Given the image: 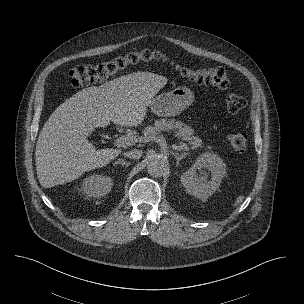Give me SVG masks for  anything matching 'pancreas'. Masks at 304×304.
<instances>
[{"label": "pancreas", "instance_id": "cf45deb5", "mask_svg": "<svg viewBox=\"0 0 304 304\" xmlns=\"http://www.w3.org/2000/svg\"><path fill=\"white\" fill-rule=\"evenodd\" d=\"M174 131V133L184 141L192 146V149L197 150L198 148H204L202 140L199 137L194 136V130L184 124L181 121L175 119H160L154 122L153 126L145 127L143 133L145 138L155 136L161 131Z\"/></svg>", "mask_w": 304, "mask_h": 304}]
</instances>
